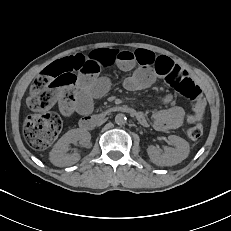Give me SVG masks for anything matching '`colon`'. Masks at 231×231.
Segmentation results:
<instances>
[{"mask_svg":"<svg viewBox=\"0 0 231 231\" xmlns=\"http://www.w3.org/2000/svg\"><path fill=\"white\" fill-rule=\"evenodd\" d=\"M168 82L181 95L191 100L201 96L199 86L187 73L172 74ZM74 83L75 75L63 61L52 63L34 80L27 103L35 113L30 114L24 124V135L32 148L46 149L58 137L62 127L61 119L47 110L60 98H71ZM202 134L203 128L200 125H192L186 129L187 137L193 141L198 140Z\"/></svg>","mask_w":231,"mask_h":231,"instance_id":"colon-1","label":"colon"}]
</instances>
